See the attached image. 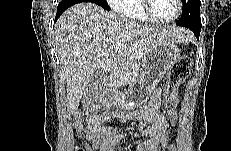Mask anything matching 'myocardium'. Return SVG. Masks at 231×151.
Here are the masks:
<instances>
[{
	"label": "myocardium",
	"instance_id": "1",
	"mask_svg": "<svg viewBox=\"0 0 231 151\" xmlns=\"http://www.w3.org/2000/svg\"><path fill=\"white\" fill-rule=\"evenodd\" d=\"M152 0H142V8H143V12L145 13V15L152 21L158 24H170L172 22H174L181 14L182 11V1L181 0H176V6H177V10L176 13L169 19H160L157 16L154 15L153 11H152Z\"/></svg>",
	"mask_w": 231,
	"mask_h": 151
}]
</instances>
